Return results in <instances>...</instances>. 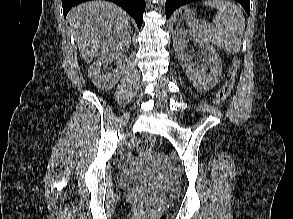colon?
Listing matches in <instances>:
<instances>
[{
    "mask_svg": "<svg viewBox=\"0 0 293 219\" xmlns=\"http://www.w3.org/2000/svg\"><path fill=\"white\" fill-rule=\"evenodd\" d=\"M240 62L238 59H233L232 65L229 68L227 79L224 83V85L219 89L217 92L215 98H214V104L221 105L227 96L229 95L231 89L234 86L235 83V77L239 70ZM155 144V138L151 135H147L142 137L138 142V150L141 153L149 152ZM145 205H150L148 201L144 202Z\"/></svg>",
    "mask_w": 293,
    "mask_h": 219,
    "instance_id": "colon-1",
    "label": "colon"
}]
</instances>
